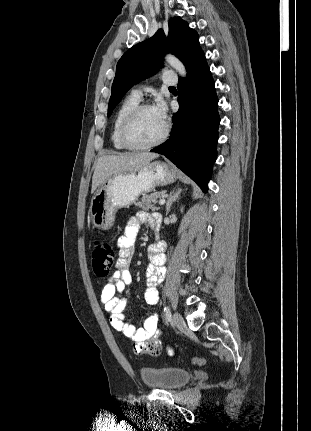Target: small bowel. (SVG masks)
I'll return each mask as SVG.
<instances>
[{
  "label": "small bowel",
  "mask_w": 311,
  "mask_h": 431,
  "mask_svg": "<svg viewBox=\"0 0 311 431\" xmlns=\"http://www.w3.org/2000/svg\"><path fill=\"white\" fill-rule=\"evenodd\" d=\"M142 225H148L155 235L159 234L161 215L158 213L138 212L129 218L124 233L117 242L119 259L117 268L108 278L101 291V303L109 314L111 326L117 331L132 339L136 344L153 339L158 341L160 330L158 328V285L163 277L166 244L159 241L149 248V265L146 269L147 289L144 297L150 305V314L143 324L135 327L125 320L128 300L124 294L128 293V286L132 281L130 262L134 254L135 241Z\"/></svg>",
  "instance_id": "small-bowel-1"
}]
</instances>
